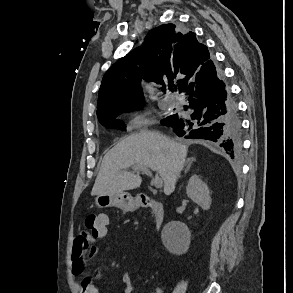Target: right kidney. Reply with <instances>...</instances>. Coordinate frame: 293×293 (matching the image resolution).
Masks as SVG:
<instances>
[{
  "label": "right kidney",
  "mask_w": 293,
  "mask_h": 293,
  "mask_svg": "<svg viewBox=\"0 0 293 293\" xmlns=\"http://www.w3.org/2000/svg\"><path fill=\"white\" fill-rule=\"evenodd\" d=\"M186 193L187 196L203 210H208L210 208L211 197L208 186L199 176L194 175L189 179ZM177 228L179 229V232ZM161 238L164 246L169 252L180 254L189 246L190 231L184 224L170 222L162 231Z\"/></svg>",
  "instance_id": "ca27d5eb"
}]
</instances>
